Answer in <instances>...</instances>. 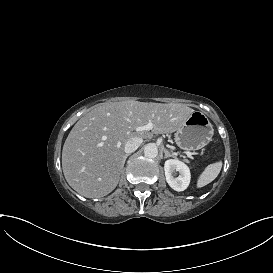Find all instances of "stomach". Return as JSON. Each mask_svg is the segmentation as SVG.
Segmentation results:
<instances>
[{"mask_svg":"<svg viewBox=\"0 0 273 273\" xmlns=\"http://www.w3.org/2000/svg\"><path fill=\"white\" fill-rule=\"evenodd\" d=\"M214 134L213 127L207 116L200 112H192L180 127L174 139L177 146L183 150L195 151L207 145Z\"/></svg>","mask_w":273,"mask_h":273,"instance_id":"0dacf381","label":"stomach"}]
</instances>
